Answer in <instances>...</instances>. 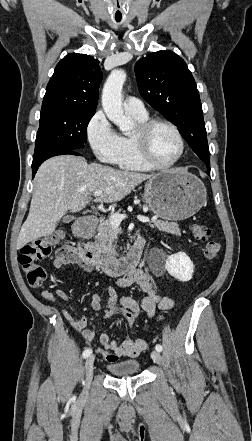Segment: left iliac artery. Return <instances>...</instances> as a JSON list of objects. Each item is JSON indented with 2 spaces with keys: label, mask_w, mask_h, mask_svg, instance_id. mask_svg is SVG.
<instances>
[{
  "label": "left iliac artery",
  "mask_w": 252,
  "mask_h": 441,
  "mask_svg": "<svg viewBox=\"0 0 252 441\" xmlns=\"http://www.w3.org/2000/svg\"><path fill=\"white\" fill-rule=\"evenodd\" d=\"M144 327H147V324H144ZM156 351L161 352L162 351V346L160 344H157L155 346Z\"/></svg>",
  "instance_id": "obj_1"
}]
</instances>
